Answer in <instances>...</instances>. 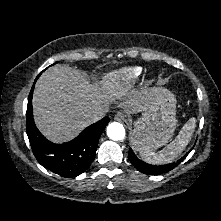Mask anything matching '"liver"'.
<instances>
[{
    "mask_svg": "<svg viewBox=\"0 0 221 221\" xmlns=\"http://www.w3.org/2000/svg\"><path fill=\"white\" fill-rule=\"evenodd\" d=\"M151 90H132L124 106L130 112L144 110ZM112 95L91 84L68 65H55L38 79L33 95V115L40 132L50 141L62 143L76 137L87 125V115L107 112Z\"/></svg>",
    "mask_w": 221,
    "mask_h": 221,
    "instance_id": "liver-1",
    "label": "liver"
}]
</instances>
